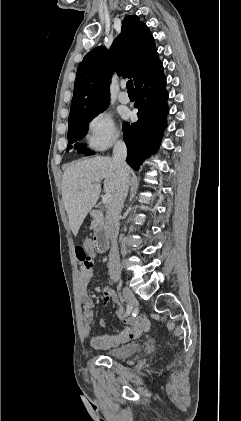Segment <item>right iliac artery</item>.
Wrapping results in <instances>:
<instances>
[{"mask_svg":"<svg viewBox=\"0 0 241 421\" xmlns=\"http://www.w3.org/2000/svg\"><path fill=\"white\" fill-rule=\"evenodd\" d=\"M131 311H132V307L127 305L125 316L129 315Z\"/></svg>","mask_w":241,"mask_h":421,"instance_id":"right-iliac-artery-1","label":"right iliac artery"}]
</instances>
